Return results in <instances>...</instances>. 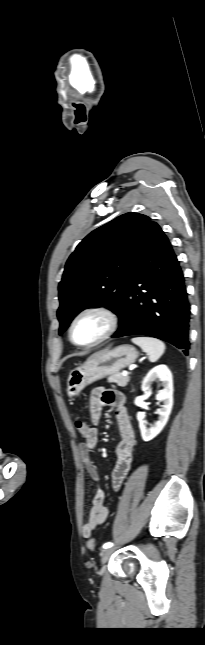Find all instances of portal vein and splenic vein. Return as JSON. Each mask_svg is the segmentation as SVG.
<instances>
[{"mask_svg": "<svg viewBox=\"0 0 205 645\" xmlns=\"http://www.w3.org/2000/svg\"><path fill=\"white\" fill-rule=\"evenodd\" d=\"M122 375H123V376H128V372H127V371H124V372L122 373Z\"/></svg>", "mask_w": 205, "mask_h": 645, "instance_id": "1", "label": "portal vein and splenic vein"}]
</instances>
